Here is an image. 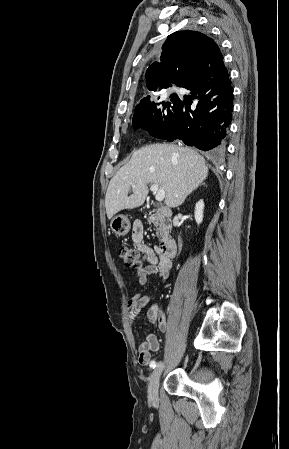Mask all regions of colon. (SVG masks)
<instances>
[{"instance_id": "1", "label": "colon", "mask_w": 289, "mask_h": 449, "mask_svg": "<svg viewBox=\"0 0 289 449\" xmlns=\"http://www.w3.org/2000/svg\"><path fill=\"white\" fill-rule=\"evenodd\" d=\"M119 256L126 266L140 268L144 266V258L146 256L141 254L136 248L131 246H123L119 249Z\"/></svg>"}]
</instances>
